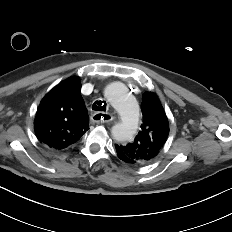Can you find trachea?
<instances>
[{
    "mask_svg": "<svg viewBox=\"0 0 232 232\" xmlns=\"http://www.w3.org/2000/svg\"><path fill=\"white\" fill-rule=\"evenodd\" d=\"M107 104L105 101H95L92 105V109L95 111H106Z\"/></svg>",
    "mask_w": 232,
    "mask_h": 232,
    "instance_id": "3493384b",
    "label": "trachea"
}]
</instances>
